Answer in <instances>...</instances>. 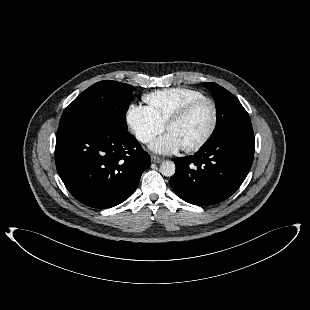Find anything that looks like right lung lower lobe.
<instances>
[{"instance_id":"right-lung-lower-lobe-1","label":"right lung lower lobe","mask_w":310,"mask_h":310,"mask_svg":"<svg viewBox=\"0 0 310 310\" xmlns=\"http://www.w3.org/2000/svg\"><path fill=\"white\" fill-rule=\"evenodd\" d=\"M55 162L68 191L92 208L116 206L135 191L151 159L129 132L81 123L60 126Z\"/></svg>"}]
</instances>
